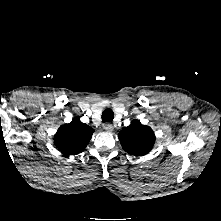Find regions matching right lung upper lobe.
<instances>
[{
	"label": "right lung upper lobe",
	"instance_id": "obj_1",
	"mask_svg": "<svg viewBox=\"0 0 221 221\" xmlns=\"http://www.w3.org/2000/svg\"><path fill=\"white\" fill-rule=\"evenodd\" d=\"M94 130L79 118H74L71 123L62 125L55 137L56 147L66 155H76L82 152L89 143Z\"/></svg>",
	"mask_w": 221,
	"mask_h": 221
}]
</instances>
